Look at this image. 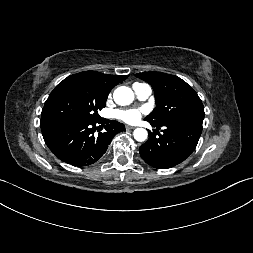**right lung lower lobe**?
Returning a JSON list of instances; mask_svg holds the SVG:
<instances>
[{"instance_id":"1","label":"right lung lower lobe","mask_w":253,"mask_h":253,"mask_svg":"<svg viewBox=\"0 0 253 253\" xmlns=\"http://www.w3.org/2000/svg\"><path fill=\"white\" fill-rule=\"evenodd\" d=\"M99 124L105 127V132L97 135L95 130L101 127ZM40 127L45 143L52 153L75 166H87L98 161L112 138L125 130L122 123L103 118L95 122L52 120L40 122Z\"/></svg>"}]
</instances>
